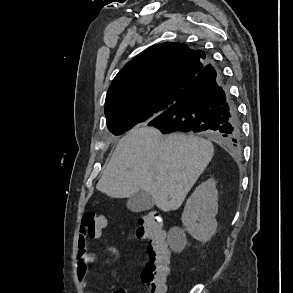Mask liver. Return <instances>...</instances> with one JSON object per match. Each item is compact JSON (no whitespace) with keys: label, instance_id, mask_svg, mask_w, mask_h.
<instances>
[{"label":"liver","instance_id":"obj_1","mask_svg":"<svg viewBox=\"0 0 293 293\" xmlns=\"http://www.w3.org/2000/svg\"><path fill=\"white\" fill-rule=\"evenodd\" d=\"M214 154L204 138L174 133L163 136L153 127L138 125L117 144L97 189L112 198L149 193L156 206L177 210Z\"/></svg>","mask_w":293,"mask_h":293}]
</instances>
